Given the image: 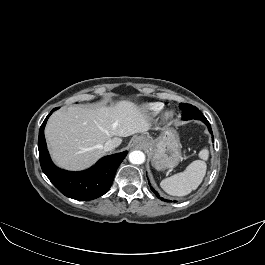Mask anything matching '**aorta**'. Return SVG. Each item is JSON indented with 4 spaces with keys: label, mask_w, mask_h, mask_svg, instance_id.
I'll list each match as a JSON object with an SVG mask.
<instances>
[{
    "label": "aorta",
    "mask_w": 265,
    "mask_h": 265,
    "mask_svg": "<svg viewBox=\"0 0 265 265\" xmlns=\"http://www.w3.org/2000/svg\"><path fill=\"white\" fill-rule=\"evenodd\" d=\"M129 161L132 164H142L145 161V155L142 151H132L129 154Z\"/></svg>",
    "instance_id": "1"
}]
</instances>
